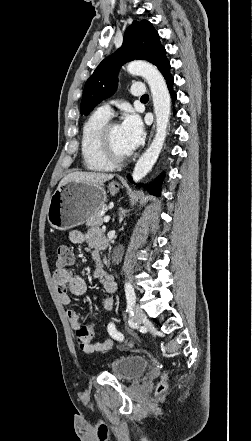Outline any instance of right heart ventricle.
Instances as JSON below:
<instances>
[{
  "mask_svg": "<svg viewBox=\"0 0 252 441\" xmlns=\"http://www.w3.org/2000/svg\"><path fill=\"white\" fill-rule=\"evenodd\" d=\"M109 117L96 111L84 122L81 133L80 151L83 166L92 172H108L113 166L107 163L98 150V136Z\"/></svg>",
  "mask_w": 252,
  "mask_h": 441,
  "instance_id": "1",
  "label": "right heart ventricle"
}]
</instances>
